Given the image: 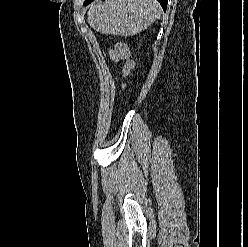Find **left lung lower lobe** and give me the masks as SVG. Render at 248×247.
I'll list each match as a JSON object with an SVG mask.
<instances>
[{
  "label": "left lung lower lobe",
  "mask_w": 248,
  "mask_h": 247,
  "mask_svg": "<svg viewBox=\"0 0 248 247\" xmlns=\"http://www.w3.org/2000/svg\"><path fill=\"white\" fill-rule=\"evenodd\" d=\"M92 1H94V0H85V1H84V5H85V6L88 5V4H90ZM157 1L160 3V5L162 6V8H163L164 10H166V6H167L168 0H157Z\"/></svg>",
  "instance_id": "obj_1"
}]
</instances>
